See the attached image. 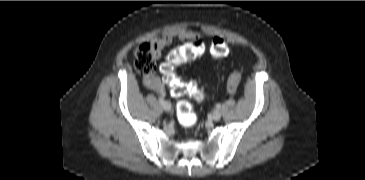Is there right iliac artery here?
I'll return each instance as SVG.
<instances>
[{"instance_id":"right-iliac-artery-1","label":"right iliac artery","mask_w":365,"mask_h":180,"mask_svg":"<svg viewBox=\"0 0 365 180\" xmlns=\"http://www.w3.org/2000/svg\"><path fill=\"white\" fill-rule=\"evenodd\" d=\"M159 102L161 103V104H163V102H164V100H163V98H159Z\"/></svg>"}]
</instances>
